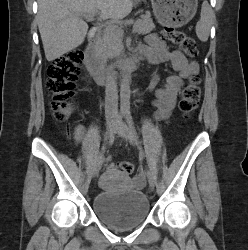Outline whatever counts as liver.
<instances>
[{
	"label": "liver",
	"mask_w": 248,
	"mask_h": 250,
	"mask_svg": "<svg viewBox=\"0 0 248 250\" xmlns=\"http://www.w3.org/2000/svg\"><path fill=\"white\" fill-rule=\"evenodd\" d=\"M132 8L133 0H38L37 23L46 59L53 61L84 42L88 25L83 14L123 19Z\"/></svg>",
	"instance_id": "6515ba94"
}]
</instances>
